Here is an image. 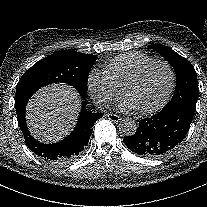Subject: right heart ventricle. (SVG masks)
<instances>
[{"mask_svg":"<svg viewBox=\"0 0 207 207\" xmlns=\"http://www.w3.org/2000/svg\"><path fill=\"white\" fill-rule=\"evenodd\" d=\"M154 58L139 52H130L114 58L107 66L105 74L111 84L121 90L126 81L142 66Z\"/></svg>","mask_w":207,"mask_h":207,"instance_id":"obj_1","label":"right heart ventricle"}]
</instances>
